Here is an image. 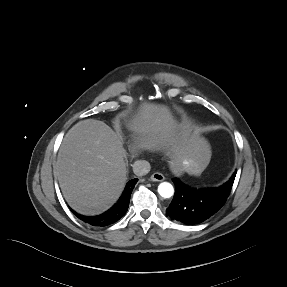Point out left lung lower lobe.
Listing matches in <instances>:
<instances>
[{
    "label": "left lung lower lobe",
    "instance_id": "left-lung-lower-lobe-1",
    "mask_svg": "<svg viewBox=\"0 0 287 287\" xmlns=\"http://www.w3.org/2000/svg\"><path fill=\"white\" fill-rule=\"evenodd\" d=\"M235 176L236 173L224 185L210 189H194L173 178L176 191L166 210L167 216L185 224L205 221L223 206L230 194Z\"/></svg>",
    "mask_w": 287,
    "mask_h": 287
}]
</instances>
